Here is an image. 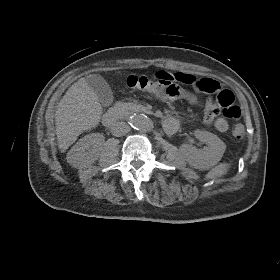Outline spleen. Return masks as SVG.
<instances>
[{
	"instance_id": "obj_1",
	"label": "spleen",
	"mask_w": 280,
	"mask_h": 280,
	"mask_svg": "<svg viewBox=\"0 0 280 280\" xmlns=\"http://www.w3.org/2000/svg\"><path fill=\"white\" fill-rule=\"evenodd\" d=\"M228 169V164H225V166L219 171L220 175L226 174Z\"/></svg>"
}]
</instances>
